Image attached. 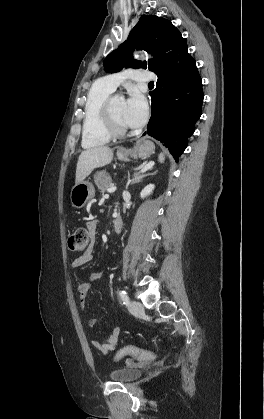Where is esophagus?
<instances>
[{
	"mask_svg": "<svg viewBox=\"0 0 264 419\" xmlns=\"http://www.w3.org/2000/svg\"><path fill=\"white\" fill-rule=\"evenodd\" d=\"M146 137V133H143L142 135H141V139H144ZM119 151L121 152V153H125L126 152V150L124 149V148H120L119 149Z\"/></svg>",
	"mask_w": 264,
	"mask_h": 419,
	"instance_id": "1",
	"label": "esophagus"
}]
</instances>
